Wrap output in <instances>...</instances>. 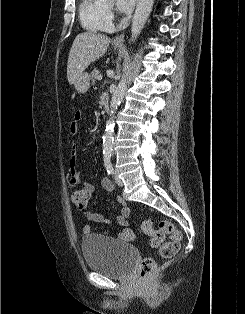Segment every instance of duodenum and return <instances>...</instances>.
<instances>
[{
  "mask_svg": "<svg viewBox=\"0 0 245 314\" xmlns=\"http://www.w3.org/2000/svg\"><path fill=\"white\" fill-rule=\"evenodd\" d=\"M101 103H102L104 111L108 113L110 110V103H109V96L107 94H103L101 96Z\"/></svg>",
  "mask_w": 245,
  "mask_h": 314,
  "instance_id": "1",
  "label": "duodenum"
}]
</instances>
